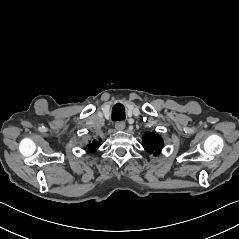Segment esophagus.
<instances>
[{"instance_id":"obj_1","label":"esophagus","mask_w":239,"mask_h":239,"mask_svg":"<svg viewBox=\"0 0 239 239\" xmlns=\"http://www.w3.org/2000/svg\"><path fill=\"white\" fill-rule=\"evenodd\" d=\"M115 128L119 131H122L125 129V123L122 121H119L115 124Z\"/></svg>"}]
</instances>
